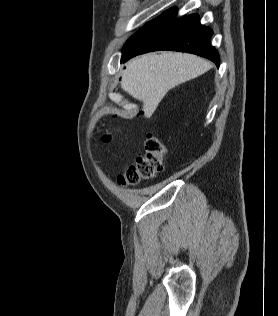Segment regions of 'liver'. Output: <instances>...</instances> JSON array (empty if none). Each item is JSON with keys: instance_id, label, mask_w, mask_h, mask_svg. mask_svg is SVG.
Listing matches in <instances>:
<instances>
[{"instance_id": "liver-1", "label": "liver", "mask_w": 278, "mask_h": 316, "mask_svg": "<svg viewBox=\"0 0 278 316\" xmlns=\"http://www.w3.org/2000/svg\"><path fill=\"white\" fill-rule=\"evenodd\" d=\"M211 67L206 60L187 53L145 54L127 63L121 87L143 103L144 116L149 118L170 89Z\"/></svg>"}]
</instances>
